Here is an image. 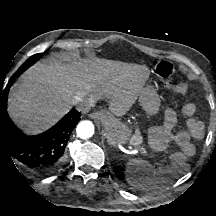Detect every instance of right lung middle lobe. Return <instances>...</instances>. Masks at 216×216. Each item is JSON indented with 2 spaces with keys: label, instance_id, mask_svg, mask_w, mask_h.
<instances>
[{
  "label": "right lung middle lobe",
  "instance_id": "obj_1",
  "mask_svg": "<svg viewBox=\"0 0 216 216\" xmlns=\"http://www.w3.org/2000/svg\"><path fill=\"white\" fill-rule=\"evenodd\" d=\"M44 53H39L31 56L27 61L18 69V71L13 75L16 78L19 74L23 73L27 68L33 65Z\"/></svg>",
  "mask_w": 216,
  "mask_h": 216
}]
</instances>
